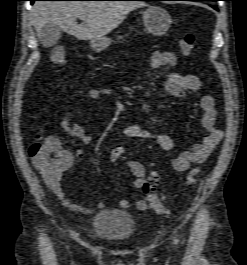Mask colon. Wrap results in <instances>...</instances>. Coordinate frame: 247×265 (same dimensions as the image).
<instances>
[{"label":"colon","mask_w":247,"mask_h":265,"mask_svg":"<svg viewBox=\"0 0 247 265\" xmlns=\"http://www.w3.org/2000/svg\"><path fill=\"white\" fill-rule=\"evenodd\" d=\"M195 36L193 34H185L179 40V48L183 55H190L194 48ZM51 62L56 66H62L65 63V51L62 47H56L51 52ZM29 154L36 161V163L44 170L53 173H64L69 167V157L64 150L55 145L47 144L42 140L34 142L29 148ZM124 156V148L117 146L110 152L111 160H118ZM200 173L199 167L192 168L187 176L188 183H194L197 175ZM152 180L154 185L151 186V190L158 184L160 176L157 172L152 173ZM149 202L155 213L164 215L167 213V209L162 204L157 193L152 192L149 194Z\"/></svg>","instance_id":"1"}]
</instances>
